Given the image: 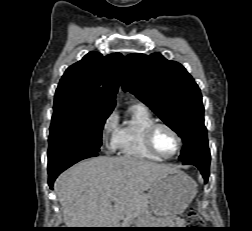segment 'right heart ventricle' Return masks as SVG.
I'll list each match as a JSON object with an SVG mask.
<instances>
[{
    "label": "right heart ventricle",
    "mask_w": 252,
    "mask_h": 231,
    "mask_svg": "<svg viewBox=\"0 0 252 231\" xmlns=\"http://www.w3.org/2000/svg\"><path fill=\"white\" fill-rule=\"evenodd\" d=\"M151 112L143 105L131 108L129 119L123 123L114 140V148L122 155L142 160H161L152 154L145 144V132L155 123Z\"/></svg>",
    "instance_id": "obj_1"
}]
</instances>
